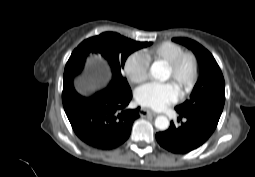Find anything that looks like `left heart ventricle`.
Instances as JSON below:
<instances>
[{
    "mask_svg": "<svg viewBox=\"0 0 255 177\" xmlns=\"http://www.w3.org/2000/svg\"><path fill=\"white\" fill-rule=\"evenodd\" d=\"M190 72H191V63L189 61H186L184 63L183 67L179 71L175 80H173L172 72L167 67L165 68L166 78L173 80L177 87H179V85H181L185 82V80L190 75Z\"/></svg>",
    "mask_w": 255,
    "mask_h": 177,
    "instance_id": "obj_1",
    "label": "left heart ventricle"
}]
</instances>
